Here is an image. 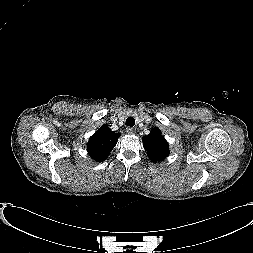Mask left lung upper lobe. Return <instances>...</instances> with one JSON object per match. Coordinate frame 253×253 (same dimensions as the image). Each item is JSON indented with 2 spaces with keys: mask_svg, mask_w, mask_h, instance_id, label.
<instances>
[{
  "mask_svg": "<svg viewBox=\"0 0 253 253\" xmlns=\"http://www.w3.org/2000/svg\"><path fill=\"white\" fill-rule=\"evenodd\" d=\"M143 146L153 162H159L169 155V145L158 128L143 137Z\"/></svg>",
  "mask_w": 253,
  "mask_h": 253,
  "instance_id": "1",
  "label": "left lung upper lobe"
}]
</instances>
